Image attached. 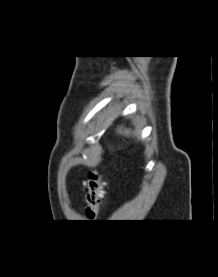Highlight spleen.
<instances>
[{
    "label": "spleen",
    "instance_id": "3e777b00",
    "mask_svg": "<svg viewBox=\"0 0 218 277\" xmlns=\"http://www.w3.org/2000/svg\"><path fill=\"white\" fill-rule=\"evenodd\" d=\"M118 133H119V134H122V135H126V136H128L129 134H131V132H130L129 129H122V128H119V129H118Z\"/></svg>",
    "mask_w": 218,
    "mask_h": 277
}]
</instances>
